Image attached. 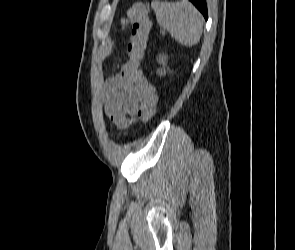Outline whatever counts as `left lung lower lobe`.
<instances>
[{"label":"left lung lower lobe","instance_id":"0a47b994","mask_svg":"<svg viewBox=\"0 0 295 250\" xmlns=\"http://www.w3.org/2000/svg\"><path fill=\"white\" fill-rule=\"evenodd\" d=\"M197 8L198 10L204 15L205 19L207 20V6L205 0H190Z\"/></svg>","mask_w":295,"mask_h":250}]
</instances>
